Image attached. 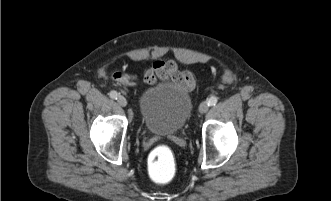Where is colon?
Masks as SVG:
<instances>
[{
  "label": "colon",
  "instance_id": "colon-1",
  "mask_svg": "<svg viewBox=\"0 0 331 201\" xmlns=\"http://www.w3.org/2000/svg\"><path fill=\"white\" fill-rule=\"evenodd\" d=\"M151 179L159 184L172 180L175 175V160L167 147H158L152 151L148 161Z\"/></svg>",
  "mask_w": 331,
  "mask_h": 201
}]
</instances>
